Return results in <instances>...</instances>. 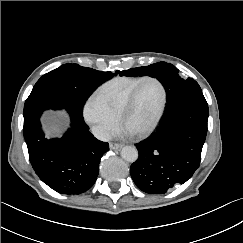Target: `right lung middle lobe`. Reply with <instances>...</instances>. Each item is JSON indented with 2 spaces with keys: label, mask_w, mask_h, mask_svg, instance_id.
I'll list each match as a JSON object with an SVG mask.
<instances>
[{
  "label": "right lung middle lobe",
  "mask_w": 243,
  "mask_h": 243,
  "mask_svg": "<svg viewBox=\"0 0 243 243\" xmlns=\"http://www.w3.org/2000/svg\"><path fill=\"white\" fill-rule=\"evenodd\" d=\"M118 72H102L78 64H65L43 75L31 93L57 94L83 109L95 88Z\"/></svg>",
  "instance_id": "dd1d6c3e"
}]
</instances>
